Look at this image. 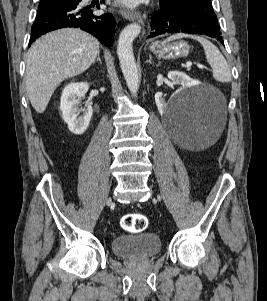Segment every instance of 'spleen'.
<instances>
[{
  "label": "spleen",
  "mask_w": 267,
  "mask_h": 301,
  "mask_svg": "<svg viewBox=\"0 0 267 301\" xmlns=\"http://www.w3.org/2000/svg\"><path fill=\"white\" fill-rule=\"evenodd\" d=\"M184 37L195 39L203 46L206 55V60L213 70V77L215 80L219 82L231 81V72L226 59L221 54L219 49L209 40L199 36L178 33L168 37L164 42H169Z\"/></svg>",
  "instance_id": "1"
}]
</instances>
